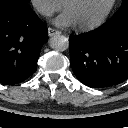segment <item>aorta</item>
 Listing matches in <instances>:
<instances>
[{"label":"aorta","instance_id":"762f6f07","mask_svg":"<svg viewBox=\"0 0 128 128\" xmlns=\"http://www.w3.org/2000/svg\"><path fill=\"white\" fill-rule=\"evenodd\" d=\"M50 47L59 52H63L69 48V40L64 35H54L49 40Z\"/></svg>","mask_w":128,"mask_h":128}]
</instances>
